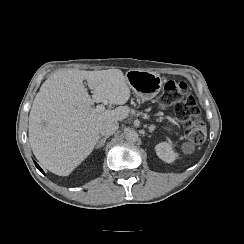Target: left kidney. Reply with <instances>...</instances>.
<instances>
[{"instance_id":"5707ae66","label":"left kidney","mask_w":244,"mask_h":244,"mask_svg":"<svg viewBox=\"0 0 244 244\" xmlns=\"http://www.w3.org/2000/svg\"><path fill=\"white\" fill-rule=\"evenodd\" d=\"M157 156L166 163H172L178 158V153L173 151L172 144L161 142L155 146Z\"/></svg>"}]
</instances>
